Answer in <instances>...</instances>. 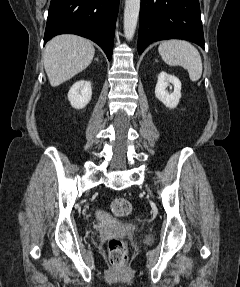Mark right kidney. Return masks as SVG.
Wrapping results in <instances>:
<instances>
[{
    "instance_id": "ca27d5eb",
    "label": "right kidney",
    "mask_w": 240,
    "mask_h": 287,
    "mask_svg": "<svg viewBox=\"0 0 240 287\" xmlns=\"http://www.w3.org/2000/svg\"><path fill=\"white\" fill-rule=\"evenodd\" d=\"M92 97L91 82L80 80L72 85L68 92V100L75 109L84 108Z\"/></svg>"
}]
</instances>
